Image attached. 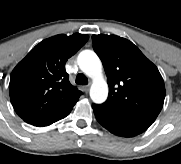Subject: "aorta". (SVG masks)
Here are the masks:
<instances>
[{"label": "aorta", "instance_id": "aorta-1", "mask_svg": "<svg viewBox=\"0 0 181 164\" xmlns=\"http://www.w3.org/2000/svg\"><path fill=\"white\" fill-rule=\"evenodd\" d=\"M80 69L90 77L93 82L90 88V97L94 103H103L108 96V85L103 78L102 63L95 52L84 50L78 56Z\"/></svg>", "mask_w": 181, "mask_h": 164}]
</instances>
